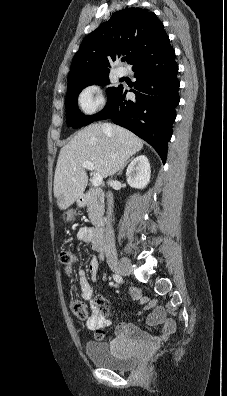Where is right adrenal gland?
I'll use <instances>...</instances> for the list:
<instances>
[{
	"mask_svg": "<svg viewBox=\"0 0 227 396\" xmlns=\"http://www.w3.org/2000/svg\"><path fill=\"white\" fill-rule=\"evenodd\" d=\"M128 161H129V159H127V160L125 161L124 165L122 166V168H121L120 171L118 172V175H121V173H122L123 169L125 168V166L127 165Z\"/></svg>",
	"mask_w": 227,
	"mask_h": 396,
	"instance_id": "obj_1",
	"label": "right adrenal gland"
}]
</instances>
